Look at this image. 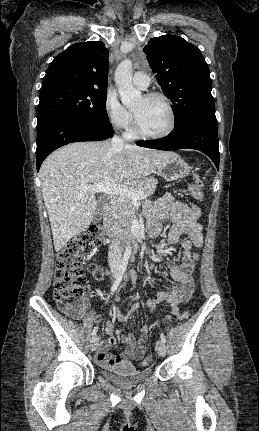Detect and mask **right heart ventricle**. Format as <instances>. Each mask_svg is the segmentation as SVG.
<instances>
[{
  "mask_svg": "<svg viewBox=\"0 0 259 431\" xmlns=\"http://www.w3.org/2000/svg\"><path fill=\"white\" fill-rule=\"evenodd\" d=\"M126 136H127V137H129V138H133V137H135V136H136V134H135V132L133 131V129H132V128H129V129L127 130Z\"/></svg>",
  "mask_w": 259,
  "mask_h": 431,
  "instance_id": "right-heart-ventricle-1",
  "label": "right heart ventricle"
}]
</instances>
